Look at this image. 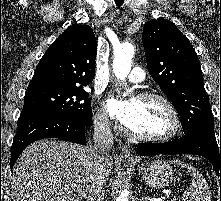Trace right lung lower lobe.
I'll return each instance as SVG.
<instances>
[{
  "label": "right lung lower lobe",
  "mask_w": 221,
  "mask_h": 201,
  "mask_svg": "<svg viewBox=\"0 0 221 201\" xmlns=\"http://www.w3.org/2000/svg\"><path fill=\"white\" fill-rule=\"evenodd\" d=\"M91 124L66 115L47 112L21 114L11 148L12 168L21 152L32 142L44 138H58L78 144H86V130Z\"/></svg>",
  "instance_id": "1"
}]
</instances>
